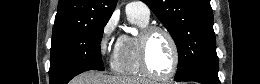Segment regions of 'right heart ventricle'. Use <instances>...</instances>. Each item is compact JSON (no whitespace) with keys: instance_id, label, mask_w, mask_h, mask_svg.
<instances>
[{"instance_id":"right-heart-ventricle-1","label":"right heart ventricle","mask_w":260,"mask_h":84,"mask_svg":"<svg viewBox=\"0 0 260 84\" xmlns=\"http://www.w3.org/2000/svg\"><path fill=\"white\" fill-rule=\"evenodd\" d=\"M128 18L132 24L139 28L148 25V21L137 15L129 14ZM112 69L114 72L125 76H140L143 74L139 63L137 36L123 34L118 38Z\"/></svg>"}]
</instances>
